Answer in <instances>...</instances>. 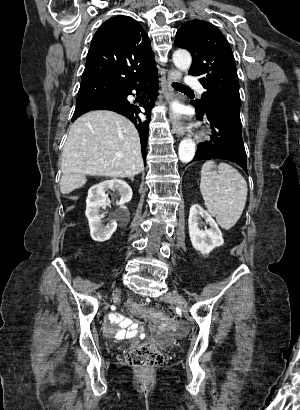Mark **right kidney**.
I'll use <instances>...</instances> for the list:
<instances>
[{
    "mask_svg": "<svg viewBox=\"0 0 300 410\" xmlns=\"http://www.w3.org/2000/svg\"><path fill=\"white\" fill-rule=\"evenodd\" d=\"M109 190L120 196V200L117 201L120 206L132 199V189L125 181L120 179L106 180L89 189L85 215L89 222L90 235L94 241L104 242L109 240L117 228L115 220L104 226L101 221L102 216L99 215L100 208L107 207L106 192Z\"/></svg>",
    "mask_w": 300,
    "mask_h": 410,
    "instance_id": "1",
    "label": "right kidney"
}]
</instances>
